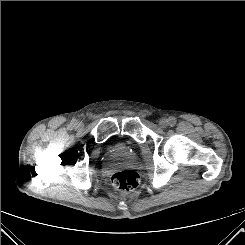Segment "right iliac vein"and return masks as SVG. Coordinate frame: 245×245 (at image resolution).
I'll use <instances>...</instances> for the list:
<instances>
[{"label": "right iliac vein", "instance_id": "obj_1", "mask_svg": "<svg viewBox=\"0 0 245 245\" xmlns=\"http://www.w3.org/2000/svg\"><path fill=\"white\" fill-rule=\"evenodd\" d=\"M83 127V123L82 122H78L77 124H76V128L77 129H81Z\"/></svg>", "mask_w": 245, "mask_h": 245}]
</instances>
